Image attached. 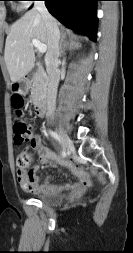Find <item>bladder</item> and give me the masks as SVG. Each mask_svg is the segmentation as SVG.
Returning a JSON list of instances; mask_svg holds the SVG:
<instances>
[{
	"label": "bladder",
	"instance_id": "obj_1",
	"mask_svg": "<svg viewBox=\"0 0 133 253\" xmlns=\"http://www.w3.org/2000/svg\"><path fill=\"white\" fill-rule=\"evenodd\" d=\"M35 199L39 200L43 204L56 206L63 202V196L59 193L41 191L34 195Z\"/></svg>",
	"mask_w": 133,
	"mask_h": 253
}]
</instances>
